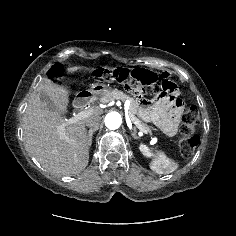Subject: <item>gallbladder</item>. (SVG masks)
Returning a JSON list of instances; mask_svg holds the SVG:
<instances>
[{"instance_id": "bac80fb5", "label": "gallbladder", "mask_w": 236, "mask_h": 236, "mask_svg": "<svg viewBox=\"0 0 236 236\" xmlns=\"http://www.w3.org/2000/svg\"><path fill=\"white\" fill-rule=\"evenodd\" d=\"M41 101L45 104L46 108L51 111L62 114V112L54 105V103L50 100V98L45 93L39 94Z\"/></svg>"}]
</instances>
